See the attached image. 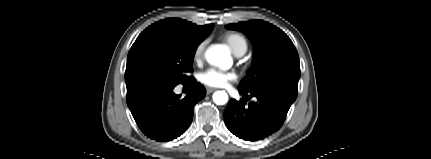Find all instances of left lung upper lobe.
Instances as JSON below:
<instances>
[{
	"label": "left lung upper lobe",
	"mask_w": 431,
	"mask_h": 159,
	"mask_svg": "<svg viewBox=\"0 0 431 159\" xmlns=\"http://www.w3.org/2000/svg\"><path fill=\"white\" fill-rule=\"evenodd\" d=\"M227 28L245 33L254 48L252 67L238 89L251 92L277 86L297 93L299 56L292 41L282 30L261 20L229 24Z\"/></svg>",
	"instance_id": "obj_1"
}]
</instances>
